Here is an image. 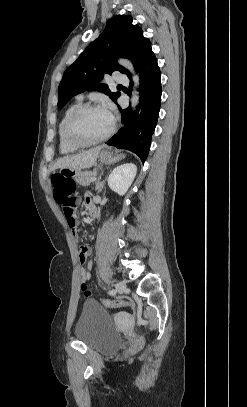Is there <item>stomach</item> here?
<instances>
[{"instance_id":"1","label":"stomach","mask_w":247,"mask_h":407,"mask_svg":"<svg viewBox=\"0 0 247 407\" xmlns=\"http://www.w3.org/2000/svg\"><path fill=\"white\" fill-rule=\"evenodd\" d=\"M124 155H113L110 150H104L100 153L99 159L102 163H113L122 159ZM59 173L62 178H77L81 172L78 166H60Z\"/></svg>"}]
</instances>
